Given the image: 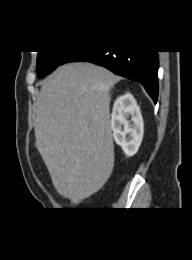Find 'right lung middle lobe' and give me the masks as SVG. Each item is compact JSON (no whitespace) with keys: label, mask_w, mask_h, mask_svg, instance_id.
Here are the masks:
<instances>
[{"label":"right lung middle lobe","mask_w":192,"mask_h":260,"mask_svg":"<svg viewBox=\"0 0 192 260\" xmlns=\"http://www.w3.org/2000/svg\"><path fill=\"white\" fill-rule=\"evenodd\" d=\"M37 73L38 77L52 72L62 64L63 59L70 53L68 51H38Z\"/></svg>","instance_id":"1"}]
</instances>
